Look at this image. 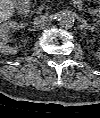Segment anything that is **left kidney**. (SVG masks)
Returning a JSON list of instances; mask_svg holds the SVG:
<instances>
[{
  "label": "left kidney",
  "mask_w": 100,
  "mask_h": 118,
  "mask_svg": "<svg viewBox=\"0 0 100 118\" xmlns=\"http://www.w3.org/2000/svg\"><path fill=\"white\" fill-rule=\"evenodd\" d=\"M95 57H99V52H96L95 53Z\"/></svg>",
  "instance_id": "5707ae66"
}]
</instances>
